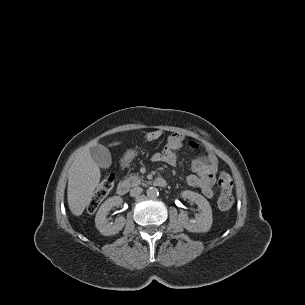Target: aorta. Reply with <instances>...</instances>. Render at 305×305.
<instances>
[{
  "label": "aorta",
  "instance_id": "762f6f07",
  "mask_svg": "<svg viewBox=\"0 0 305 305\" xmlns=\"http://www.w3.org/2000/svg\"><path fill=\"white\" fill-rule=\"evenodd\" d=\"M147 195L150 198H156L159 196V190L156 187H150L147 189Z\"/></svg>",
  "mask_w": 305,
  "mask_h": 305
}]
</instances>
